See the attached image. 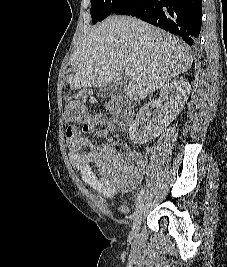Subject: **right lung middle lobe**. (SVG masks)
<instances>
[{
  "instance_id": "1",
  "label": "right lung middle lobe",
  "mask_w": 227,
  "mask_h": 267,
  "mask_svg": "<svg viewBox=\"0 0 227 267\" xmlns=\"http://www.w3.org/2000/svg\"><path fill=\"white\" fill-rule=\"evenodd\" d=\"M127 1L128 0H92L90 13L93 24L115 13L123 7Z\"/></svg>"
}]
</instances>
